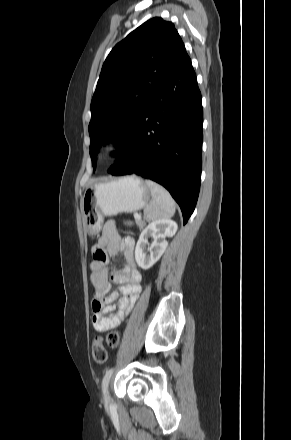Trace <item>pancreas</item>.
I'll return each mask as SVG.
<instances>
[{"mask_svg": "<svg viewBox=\"0 0 291 440\" xmlns=\"http://www.w3.org/2000/svg\"><path fill=\"white\" fill-rule=\"evenodd\" d=\"M136 225H137L140 229H142V228H144V226L146 225V222H145L144 220H142V219H136Z\"/></svg>", "mask_w": 291, "mask_h": 440, "instance_id": "pancreas-1", "label": "pancreas"}]
</instances>
